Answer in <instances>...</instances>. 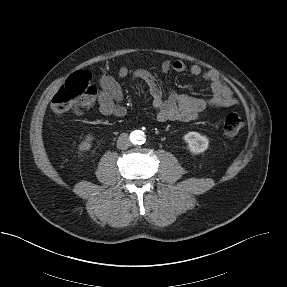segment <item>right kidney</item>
Here are the masks:
<instances>
[{
    "label": "right kidney",
    "mask_w": 287,
    "mask_h": 287,
    "mask_svg": "<svg viewBox=\"0 0 287 287\" xmlns=\"http://www.w3.org/2000/svg\"><path fill=\"white\" fill-rule=\"evenodd\" d=\"M94 138L92 136H86L85 140H83L79 145L80 151H87L91 148V141Z\"/></svg>",
    "instance_id": "obj_1"
}]
</instances>
